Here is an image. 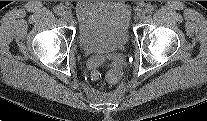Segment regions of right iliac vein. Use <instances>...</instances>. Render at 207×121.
Returning <instances> with one entry per match:
<instances>
[{
    "label": "right iliac vein",
    "mask_w": 207,
    "mask_h": 121,
    "mask_svg": "<svg viewBox=\"0 0 207 121\" xmlns=\"http://www.w3.org/2000/svg\"><path fill=\"white\" fill-rule=\"evenodd\" d=\"M63 18L66 20V21H71L72 20V13L69 11V10H65L63 12Z\"/></svg>",
    "instance_id": "obj_1"
}]
</instances>
